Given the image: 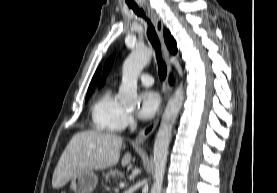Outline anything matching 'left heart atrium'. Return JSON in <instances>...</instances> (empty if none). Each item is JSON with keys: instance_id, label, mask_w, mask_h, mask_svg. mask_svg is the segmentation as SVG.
<instances>
[{"instance_id": "1", "label": "left heart atrium", "mask_w": 277, "mask_h": 193, "mask_svg": "<svg viewBox=\"0 0 277 193\" xmlns=\"http://www.w3.org/2000/svg\"><path fill=\"white\" fill-rule=\"evenodd\" d=\"M160 96L157 92L147 90L140 95V106L138 109V115L141 119H152L160 108Z\"/></svg>"}]
</instances>
